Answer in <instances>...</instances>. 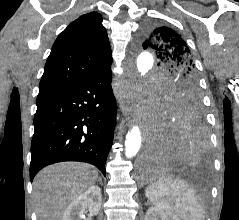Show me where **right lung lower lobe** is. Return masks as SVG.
I'll return each mask as SVG.
<instances>
[{
    "label": "right lung lower lobe",
    "instance_id": "right-lung-lower-lobe-1",
    "mask_svg": "<svg viewBox=\"0 0 239 220\" xmlns=\"http://www.w3.org/2000/svg\"><path fill=\"white\" fill-rule=\"evenodd\" d=\"M36 105L30 180L61 161L87 162L106 176L116 115L111 65L77 84L39 93Z\"/></svg>",
    "mask_w": 239,
    "mask_h": 220
}]
</instances>
